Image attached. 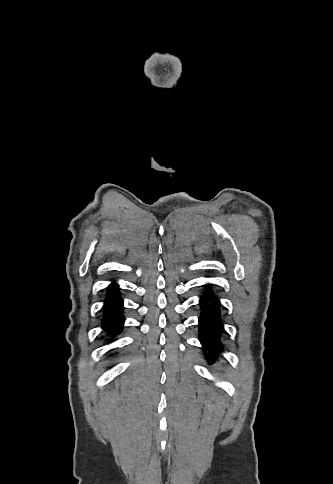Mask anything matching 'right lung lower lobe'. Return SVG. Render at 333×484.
Returning a JSON list of instances; mask_svg holds the SVG:
<instances>
[{"label": "right lung lower lobe", "instance_id": "right-lung-lower-lobe-1", "mask_svg": "<svg viewBox=\"0 0 333 484\" xmlns=\"http://www.w3.org/2000/svg\"><path fill=\"white\" fill-rule=\"evenodd\" d=\"M103 310L104 318L102 320V327L113 336L120 333L124 323V317L122 315L123 302L119 296L118 285L115 283H112L108 287V294Z\"/></svg>", "mask_w": 333, "mask_h": 484}]
</instances>
